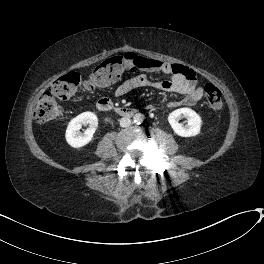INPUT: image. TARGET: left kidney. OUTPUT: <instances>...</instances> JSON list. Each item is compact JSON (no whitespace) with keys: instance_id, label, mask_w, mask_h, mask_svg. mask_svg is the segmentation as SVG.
Returning <instances> with one entry per match:
<instances>
[{"instance_id":"5707ae66","label":"left kidney","mask_w":264,"mask_h":264,"mask_svg":"<svg viewBox=\"0 0 264 264\" xmlns=\"http://www.w3.org/2000/svg\"><path fill=\"white\" fill-rule=\"evenodd\" d=\"M185 117L187 124L184 126L178 121ZM168 122L174 132L181 137H192L200 133L202 119L194 110L190 108H180L171 112L168 116Z\"/></svg>"}]
</instances>
